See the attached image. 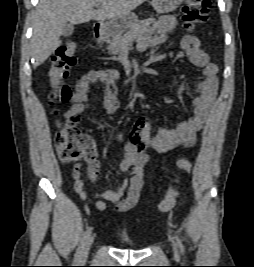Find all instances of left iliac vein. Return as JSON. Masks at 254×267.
Here are the masks:
<instances>
[{
    "label": "left iliac vein",
    "instance_id": "4c4485c4",
    "mask_svg": "<svg viewBox=\"0 0 254 267\" xmlns=\"http://www.w3.org/2000/svg\"><path fill=\"white\" fill-rule=\"evenodd\" d=\"M172 245H173V251L175 252V253H178V250H177V247H176V244L174 243V241H172Z\"/></svg>",
    "mask_w": 254,
    "mask_h": 267
}]
</instances>
